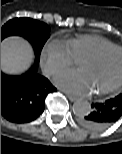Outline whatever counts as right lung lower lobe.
Masks as SVG:
<instances>
[{"mask_svg":"<svg viewBox=\"0 0 122 154\" xmlns=\"http://www.w3.org/2000/svg\"><path fill=\"white\" fill-rule=\"evenodd\" d=\"M37 62L20 76L1 72V115L10 122L35 120L44 111L47 94L56 91L47 78L36 73Z\"/></svg>","mask_w":122,"mask_h":154,"instance_id":"right-lung-lower-lobe-1","label":"right lung lower lobe"}]
</instances>
